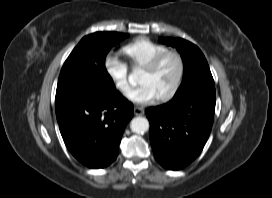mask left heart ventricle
<instances>
[{
  "mask_svg": "<svg viewBox=\"0 0 272 198\" xmlns=\"http://www.w3.org/2000/svg\"><path fill=\"white\" fill-rule=\"evenodd\" d=\"M177 74L178 62L175 57L170 56L155 71L143 70L139 82L140 84H149L159 97L171 89Z\"/></svg>",
  "mask_w": 272,
  "mask_h": 198,
  "instance_id": "b2bd125f",
  "label": "left heart ventricle"
}]
</instances>
